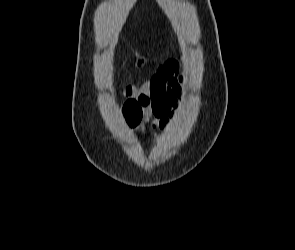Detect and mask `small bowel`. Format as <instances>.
Returning a JSON list of instances; mask_svg holds the SVG:
<instances>
[{"label":"small bowel","instance_id":"small-bowel-1","mask_svg":"<svg viewBox=\"0 0 295 250\" xmlns=\"http://www.w3.org/2000/svg\"><path fill=\"white\" fill-rule=\"evenodd\" d=\"M182 84L183 78L179 74L178 62L168 60L142 86H126L124 95L141 105L145 114V124L165 130L177 118L184 94ZM143 128L144 125L139 126L140 130Z\"/></svg>","mask_w":295,"mask_h":250}]
</instances>
